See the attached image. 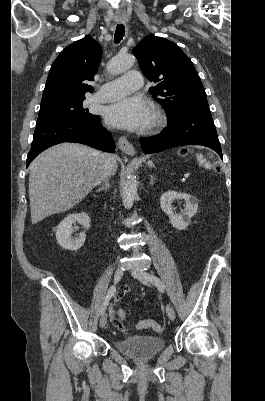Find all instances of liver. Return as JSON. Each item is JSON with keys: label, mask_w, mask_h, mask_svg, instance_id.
<instances>
[{"label": "liver", "mask_w": 265, "mask_h": 401, "mask_svg": "<svg viewBox=\"0 0 265 401\" xmlns=\"http://www.w3.org/2000/svg\"><path fill=\"white\" fill-rule=\"evenodd\" d=\"M29 168L31 221L37 225L83 201L103 174L105 154L83 144L62 142L38 154ZM116 170L114 156L113 174Z\"/></svg>", "instance_id": "liver-1"}]
</instances>
